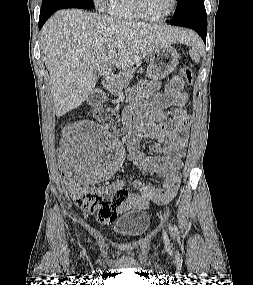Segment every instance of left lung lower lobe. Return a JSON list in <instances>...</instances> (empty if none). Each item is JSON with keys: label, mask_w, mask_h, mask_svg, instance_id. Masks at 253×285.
Returning a JSON list of instances; mask_svg holds the SVG:
<instances>
[{"label": "left lung lower lobe", "mask_w": 253, "mask_h": 285, "mask_svg": "<svg viewBox=\"0 0 253 285\" xmlns=\"http://www.w3.org/2000/svg\"><path fill=\"white\" fill-rule=\"evenodd\" d=\"M171 25L194 29L206 43L207 16L203 0L190 5L186 10L168 21Z\"/></svg>", "instance_id": "0a47b994"}]
</instances>
